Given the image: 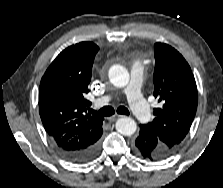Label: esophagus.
<instances>
[{
	"label": "esophagus",
	"instance_id": "34e87169",
	"mask_svg": "<svg viewBox=\"0 0 223 188\" xmlns=\"http://www.w3.org/2000/svg\"><path fill=\"white\" fill-rule=\"evenodd\" d=\"M124 117L122 115H114L112 117L107 118L109 122H114L116 121L118 118Z\"/></svg>",
	"mask_w": 223,
	"mask_h": 188
}]
</instances>
